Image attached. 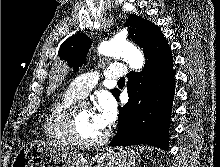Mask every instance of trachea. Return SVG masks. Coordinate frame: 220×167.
<instances>
[{
  "instance_id": "obj_1",
  "label": "trachea",
  "mask_w": 220,
  "mask_h": 167,
  "mask_svg": "<svg viewBox=\"0 0 220 167\" xmlns=\"http://www.w3.org/2000/svg\"><path fill=\"white\" fill-rule=\"evenodd\" d=\"M118 83H125V78H124V77L121 78V79L118 81Z\"/></svg>"
}]
</instances>
